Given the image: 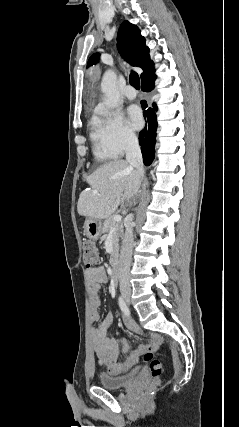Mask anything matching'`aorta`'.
<instances>
[{
  "mask_svg": "<svg viewBox=\"0 0 239 427\" xmlns=\"http://www.w3.org/2000/svg\"><path fill=\"white\" fill-rule=\"evenodd\" d=\"M117 76L113 70H108L104 73L101 81V90L106 98L109 107H117L120 94L116 86Z\"/></svg>",
  "mask_w": 239,
  "mask_h": 427,
  "instance_id": "1",
  "label": "aorta"
}]
</instances>
